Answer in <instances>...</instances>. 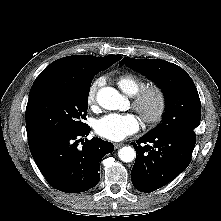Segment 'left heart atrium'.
Instances as JSON below:
<instances>
[{"instance_id":"39dd6f15","label":"left heart atrium","mask_w":221,"mask_h":221,"mask_svg":"<svg viewBox=\"0 0 221 221\" xmlns=\"http://www.w3.org/2000/svg\"><path fill=\"white\" fill-rule=\"evenodd\" d=\"M140 128V121L133 113H112L100 118L95 124L96 133L110 141H121L136 133Z\"/></svg>"}]
</instances>
